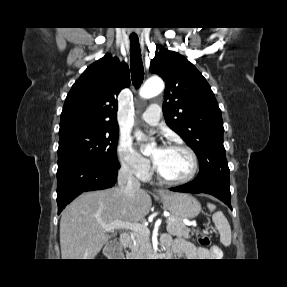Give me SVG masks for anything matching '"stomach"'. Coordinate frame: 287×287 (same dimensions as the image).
Masks as SVG:
<instances>
[{"mask_svg":"<svg viewBox=\"0 0 287 287\" xmlns=\"http://www.w3.org/2000/svg\"><path fill=\"white\" fill-rule=\"evenodd\" d=\"M160 198L164 207L178 218L192 219L200 213V203L189 194L164 191Z\"/></svg>","mask_w":287,"mask_h":287,"instance_id":"0dacf381","label":"stomach"}]
</instances>
